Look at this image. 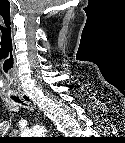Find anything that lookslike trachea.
<instances>
[{
  "label": "trachea",
  "instance_id": "obj_1",
  "mask_svg": "<svg viewBox=\"0 0 125 143\" xmlns=\"http://www.w3.org/2000/svg\"><path fill=\"white\" fill-rule=\"evenodd\" d=\"M15 101H18V99L16 97H12Z\"/></svg>",
  "mask_w": 125,
  "mask_h": 143
}]
</instances>
